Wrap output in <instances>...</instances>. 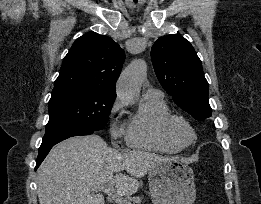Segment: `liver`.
<instances>
[{
  "label": "liver",
  "mask_w": 261,
  "mask_h": 204,
  "mask_svg": "<svg viewBox=\"0 0 261 204\" xmlns=\"http://www.w3.org/2000/svg\"><path fill=\"white\" fill-rule=\"evenodd\" d=\"M168 160L143 151L121 153L98 135L71 137L56 145L37 171L39 203L105 204L96 186L110 183L118 194L132 195L138 178Z\"/></svg>",
  "instance_id": "6515ba94"
}]
</instances>
